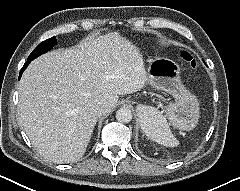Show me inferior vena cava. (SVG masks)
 Here are the masks:
<instances>
[{"label": "inferior vena cava", "mask_w": 240, "mask_h": 191, "mask_svg": "<svg viewBox=\"0 0 240 191\" xmlns=\"http://www.w3.org/2000/svg\"><path fill=\"white\" fill-rule=\"evenodd\" d=\"M98 113L102 114L107 111V105L105 103H99L95 106Z\"/></svg>", "instance_id": "inferior-vena-cava-1"}]
</instances>
